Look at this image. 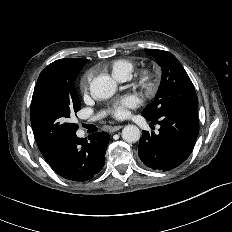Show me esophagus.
Listing matches in <instances>:
<instances>
[{
    "label": "esophagus",
    "instance_id": "obj_1",
    "mask_svg": "<svg viewBox=\"0 0 232 232\" xmlns=\"http://www.w3.org/2000/svg\"><path fill=\"white\" fill-rule=\"evenodd\" d=\"M121 128H123V125H118V126L111 127L110 132L114 133V132L120 130Z\"/></svg>",
    "mask_w": 232,
    "mask_h": 232
}]
</instances>
